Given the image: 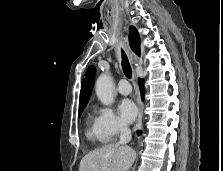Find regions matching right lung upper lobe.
I'll return each mask as SVG.
<instances>
[{
	"label": "right lung upper lobe",
	"mask_w": 223,
	"mask_h": 171,
	"mask_svg": "<svg viewBox=\"0 0 223 171\" xmlns=\"http://www.w3.org/2000/svg\"><path fill=\"white\" fill-rule=\"evenodd\" d=\"M129 44L131 49L137 55H140V37L137 29L134 26H130L129 29ZM95 72V67L90 66L85 73V78L82 80L81 84L79 107L87 105L94 85Z\"/></svg>",
	"instance_id": "1"
}]
</instances>
